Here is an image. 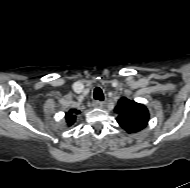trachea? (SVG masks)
Listing matches in <instances>:
<instances>
[{
  "mask_svg": "<svg viewBox=\"0 0 190 188\" xmlns=\"http://www.w3.org/2000/svg\"><path fill=\"white\" fill-rule=\"evenodd\" d=\"M93 95H94V99H96V100L102 101L104 99L103 92L99 87H96L94 89V94Z\"/></svg>",
  "mask_w": 190,
  "mask_h": 188,
  "instance_id": "3493384b",
  "label": "trachea"
}]
</instances>
